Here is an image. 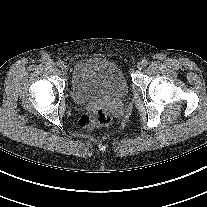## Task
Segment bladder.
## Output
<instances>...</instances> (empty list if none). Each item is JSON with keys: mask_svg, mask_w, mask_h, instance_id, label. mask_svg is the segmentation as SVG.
<instances>
[{"mask_svg": "<svg viewBox=\"0 0 207 207\" xmlns=\"http://www.w3.org/2000/svg\"><path fill=\"white\" fill-rule=\"evenodd\" d=\"M128 82L122 70L102 58L80 60L73 68L71 95L76 103L120 99L127 95Z\"/></svg>", "mask_w": 207, "mask_h": 207, "instance_id": "31cf9c89", "label": "bladder"}]
</instances>
